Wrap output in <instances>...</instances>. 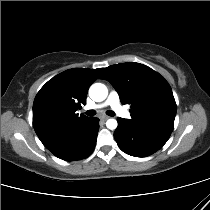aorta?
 <instances>
[{"instance_id":"1","label":"aorta","mask_w":210,"mask_h":210,"mask_svg":"<svg viewBox=\"0 0 210 210\" xmlns=\"http://www.w3.org/2000/svg\"><path fill=\"white\" fill-rule=\"evenodd\" d=\"M108 89L102 83H94L91 85L89 89V96L92 100L96 102H101L107 98ZM106 126L110 130H114L117 128L118 123L115 119H108L106 122Z\"/></svg>"}]
</instances>
